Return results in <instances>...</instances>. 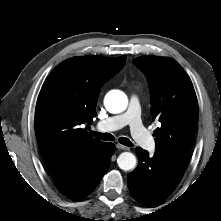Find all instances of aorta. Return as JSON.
I'll list each match as a JSON object with an SVG mask.
<instances>
[{"instance_id": "aorta-1", "label": "aorta", "mask_w": 221, "mask_h": 221, "mask_svg": "<svg viewBox=\"0 0 221 221\" xmlns=\"http://www.w3.org/2000/svg\"><path fill=\"white\" fill-rule=\"evenodd\" d=\"M104 106L112 114L122 113L128 106V98L120 90H111L105 95ZM117 163L120 169L129 171L135 168L136 157L130 152H123L118 156Z\"/></svg>"}]
</instances>
